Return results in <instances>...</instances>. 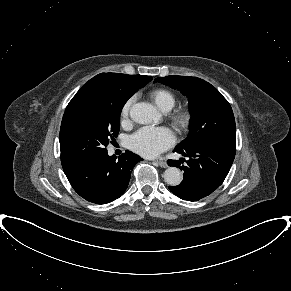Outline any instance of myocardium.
Returning a JSON list of instances; mask_svg holds the SVG:
<instances>
[{"label":"myocardium","mask_w":291,"mask_h":291,"mask_svg":"<svg viewBox=\"0 0 291 291\" xmlns=\"http://www.w3.org/2000/svg\"><path fill=\"white\" fill-rule=\"evenodd\" d=\"M169 120L174 129L179 134H183L186 133L191 126L193 113L188 107L179 108L169 115Z\"/></svg>","instance_id":"1"}]
</instances>
